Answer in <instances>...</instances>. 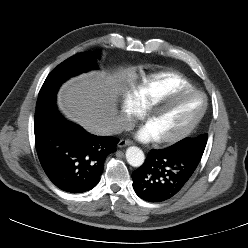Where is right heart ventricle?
<instances>
[{
    "label": "right heart ventricle",
    "mask_w": 248,
    "mask_h": 248,
    "mask_svg": "<svg viewBox=\"0 0 248 248\" xmlns=\"http://www.w3.org/2000/svg\"><path fill=\"white\" fill-rule=\"evenodd\" d=\"M185 89H193V85L186 77L175 71H163L145 77L134 88L133 94L145 109L157 99Z\"/></svg>",
    "instance_id": "e07e8e85"
}]
</instances>
